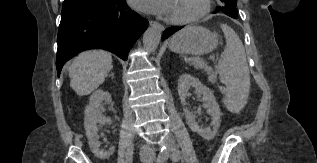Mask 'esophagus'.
Wrapping results in <instances>:
<instances>
[{
	"mask_svg": "<svg viewBox=\"0 0 317 163\" xmlns=\"http://www.w3.org/2000/svg\"><path fill=\"white\" fill-rule=\"evenodd\" d=\"M150 26L158 29L160 32L164 31V26L157 21H149Z\"/></svg>",
	"mask_w": 317,
	"mask_h": 163,
	"instance_id": "obj_1",
	"label": "esophagus"
}]
</instances>
